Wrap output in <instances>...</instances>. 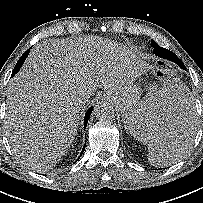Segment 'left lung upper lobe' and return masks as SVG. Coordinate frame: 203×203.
<instances>
[{
    "label": "left lung upper lobe",
    "instance_id": "5c2ea615",
    "mask_svg": "<svg viewBox=\"0 0 203 203\" xmlns=\"http://www.w3.org/2000/svg\"><path fill=\"white\" fill-rule=\"evenodd\" d=\"M151 46L154 48V49H157V47L159 46L154 40L151 41ZM177 57V56H176ZM181 62V61H180ZM182 63V62H181ZM183 64V63H182Z\"/></svg>",
    "mask_w": 203,
    "mask_h": 203
}]
</instances>
